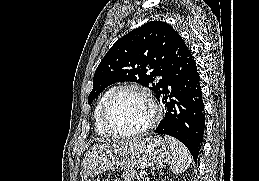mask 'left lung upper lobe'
I'll return each instance as SVG.
<instances>
[{
  "label": "left lung upper lobe",
  "instance_id": "1",
  "mask_svg": "<svg viewBox=\"0 0 259 181\" xmlns=\"http://www.w3.org/2000/svg\"><path fill=\"white\" fill-rule=\"evenodd\" d=\"M179 36L165 22L150 21L120 38L95 71L88 103L91 104L109 85L122 81L140 83L151 89L157 98L168 74L175 40ZM157 76H162V79L154 83Z\"/></svg>",
  "mask_w": 259,
  "mask_h": 181
}]
</instances>
